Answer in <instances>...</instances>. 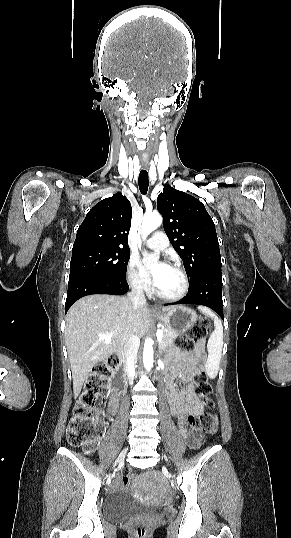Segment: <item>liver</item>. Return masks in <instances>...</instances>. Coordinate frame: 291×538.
<instances>
[{
	"instance_id": "obj_1",
	"label": "liver",
	"mask_w": 291,
	"mask_h": 538,
	"mask_svg": "<svg viewBox=\"0 0 291 538\" xmlns=\"http://www.w3.org/2000/svg\"><path fill=\"white\" fill-rule=\"evenodd\" d=\"M174 306L163 307L167 312ZM150 325L144 305L134 311L127 297L94 294L79 299L66 315L65 342L77 397L91 369L125 345L129 334L142 337ZM114 333L109 342L101 335Z\"/></svg>"
}]
</instances>
